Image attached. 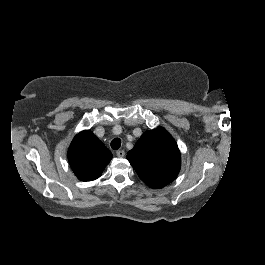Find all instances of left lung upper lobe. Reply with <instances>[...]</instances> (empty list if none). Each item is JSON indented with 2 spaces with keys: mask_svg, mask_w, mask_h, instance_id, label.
Instances as JSON below:
<instances>
[{
  "mask_svg": "<svg viewBox=\"0 0 265 265\" xmlns=\"http://www.w3.org/2000/svg\"><path fill=\"white\" fill-rule=\"evenodd\" d=\"M127 159L140 179L154 189L171 183L181 166L178 146L162 127L145 132L128 152Z\"/></svg>",
  "mask_w": 265,
  "mask_h": 265,
  "instance_id": "5c2ea615",
  "label": "left lung upper lobe"
}]
</instances>
